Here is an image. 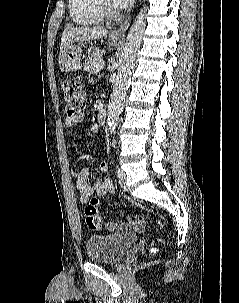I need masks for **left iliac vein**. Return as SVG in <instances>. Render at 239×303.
I'll use <instances>...</instances> for the list:
<instances>
[{
    "instance_id": "4c4485c4",
    "label": "left iliac vein",
    "mask_w": 239,
    "mask_h": 303,
    "mask_svg": "<svg viewBox=\"0 0 239 303\" xmlns=\"http://www.w3.org/2000/svg\"><path fill=\"white\" fill-rule=\"evenodd\" d=\"M118 177H119V184H120V186L124 190H127L128 186H127V178H126L125 172L123 170L119 169Z\"/></svg>"
}]
</instances>
